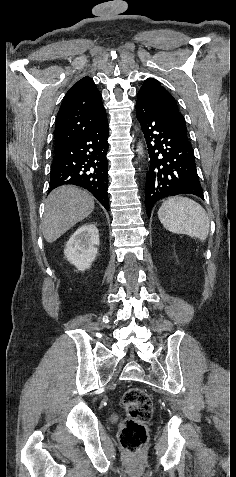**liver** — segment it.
Instances as JSON below:
<instances>
[{
    "mask_svg": "<svg viewBox=\"0 0 236 477\" xmlns=\"http://www.w3.org/2000/svg\"><path fill=\"white\" fill-rule=\"evenodd\" d=\"M94 198L74 186H60L47 197L42 232L48 243L56 241L94 210Z\"/></svg>",
    "mask_w": 236,
    "mask_h": 477,
    "instance_id": "obj_1",
    "label": "liver"
}]
</instances>
